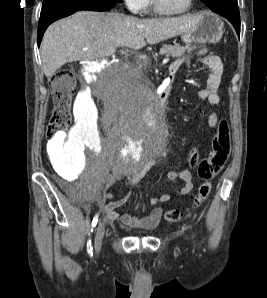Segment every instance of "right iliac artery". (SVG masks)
I'll return each mask as SVG.
<instances>
[{"mask_svg": "<svg viewBox=\"0 0 267 298\" xmlns=\"http://www.w3.org/2000/svg\"><path fill=\"white\" fill-rule=\"evenodd\" d=\"M98 217H99V215L96 214L95 217L93 218V220H92V224H91V230H90V233L93 232V229H94V227L96 226V224H97V222H98ZM90 233H89V235H90ZM87 252H88V254H89L90 256L93 255V247L91 246V240H90V239H89L88 242H87Z\"/></svg>", "mask_w": 267, "mask_h": 298, "instance_id": "right-iliac-artery-1", "label": "right iliac artery"}]
</instances>
